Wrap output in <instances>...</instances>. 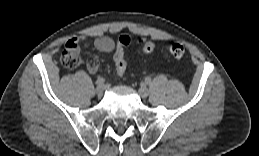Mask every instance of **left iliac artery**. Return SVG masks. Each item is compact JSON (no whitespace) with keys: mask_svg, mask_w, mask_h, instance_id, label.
<instances>
[{"mask_svg":"<svg viewBox=\"0 0 259 156\" xmlns=\"http://www.w3.org/2000/svg\"><path fill=\"white\" fill-rule=\"evenodd\" d=\"M145 81H146L147 84H150L151 79H150L149 77H147V78L145 79Z\"/></svg>","mask_w":259,"mask_h":156,"instance_id":"1","label":"left iliac artery"}]
</instances>
